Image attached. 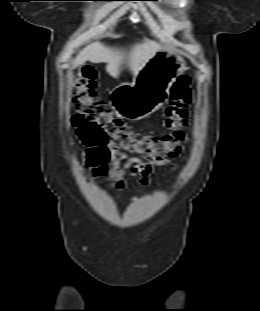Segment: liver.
Returning <instances> with one entry per match:
<instances>
[{
    "instance_id": "6515ba94",
    "label": "liver",
    "mask_w": 260,
    "mask_h": 311,
    "mask_svg": "<svg viewBox=\"0 0 260 311\" xmlns=\"http://www.w3.org/2000/svg\"><path fill=\"white\" fill-rule=\"evenodd\" d=\"M161 49L160 44L149 39L134 44L128 51L94 42L77 55L73 64L79 66L86 61L107 63L106 71L114 78H118L123 67L126 66L134 76H137L143 66Z\"/></svg>"
}]
</instances>
